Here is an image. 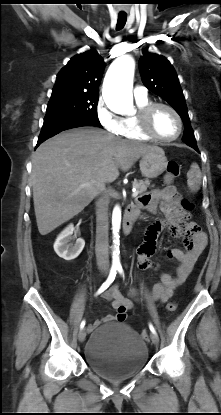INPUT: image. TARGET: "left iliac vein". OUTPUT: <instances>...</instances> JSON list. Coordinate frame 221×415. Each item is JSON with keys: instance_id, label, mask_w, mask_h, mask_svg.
I'll return each instance as SVG.
<instances>
[{"instance_id": "left-iliac-vein-1", "label": "left iliac vein", "mask_w": 221, "mask_h": 415, "mask_svg": "<svg viewBox=\"0 0 221 415\" xmlns=\"http://www.w3.org/2000/svg\"><path fill=\"white\" fill-rule=\"evenodd\" d=\"M151 340H152V342L154 343V344H158L159 343V337H158V335L157 334H155V333H151Z\"/></svg>"}]
</instances>
